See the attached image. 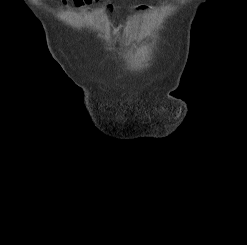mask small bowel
<instances>
[{
	"mask_svg": "<svg viewBox=\"0 0 247 245\" xmlns=\"http://www.w3.org/2000/svg\"><path fill=\"white\" fill-rule=\"evenodd\" d=\"M63 4H67L68 0H61ZM94 0H72L73 4L76 6V7H79V8H84L88 5H90Z\"/></svg>",
	"mask_w": 247,
	"mask_h": 245,
	"instance_id": "c3829d8e",
	"label": "small bowel"
}]
</instances>
